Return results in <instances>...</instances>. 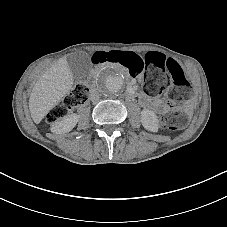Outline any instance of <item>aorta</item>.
Segmentation results:
<instances>
[{
	"label": "aorta",
	"mask_w": 227,
	"mask_h": 227,
	"mask_svg": "<svg viewBox=\"0 0 227 227\" xmlns=\"http://www.w3.org/2000/svg\"><path fill=\"white\" fill-rule=\"evenodd\" d=\"M124 77L115 68H106L102 70L96 81V87L99 92L105 96H112L120 93L124 88Z\"/></svg>",
	"instance_id": "762f6f07"
}]
</instances>
